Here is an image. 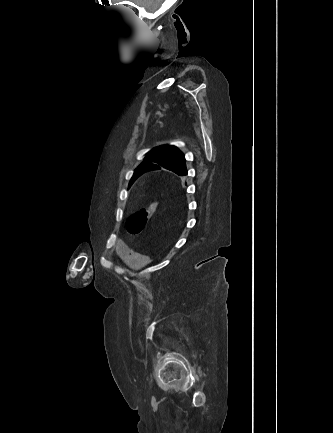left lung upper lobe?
<instances>
[{
  "label": "left lung upper lobe",
  "instance_id": "1",
  "mask_svg": "<svg viewBox=\"0 0 333 433\" xmlns=\"http://www.w3.org/2000/svg\"><path fill=\"white\" fill-rule=\"evenodd\" d=\"M148 166H154L156 170L163 167L181 176L187 174L184 155L175 146L166 145L157 147L148 153L144 161L135 170L130 184L147 171L146 167Z\"/></svg>",
  "mask_w": 333,
  "mask_h": 433
}]
</instances>
